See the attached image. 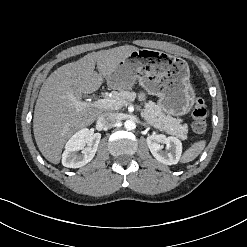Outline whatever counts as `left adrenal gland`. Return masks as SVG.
Returning a JSON list of instances; mask_svg holds the SVG:
<instances>
[{
	"instance_id": "a2214340",
	"label": "left adrenal gland",
	"mask_w": 247,
	"mask_h": 247,
	"mask_svg": "<svg viewBox=\"0 0 247 247\" xmlns=\"http://www.w3.org/2000/svg\"><path fill=\"white\" fill-rule=\"evenodd\" d=\"M142 126L144 127H148V125L146 123H142Z\"/></svg>"
}]
</instances>
